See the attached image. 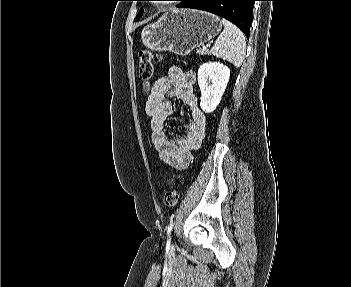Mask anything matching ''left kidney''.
Masks as SVG:
<instances>
[{"label": "left kidney", "mask_w": 351, "mask_h": 287, "mask_svg": "<svg viewBox=\"0 0 351 287\" xmlns=\"http://www.w3.org/2000/svg\"><path fill=\"white\" fill-rule=\"evenodd\" d=\"M229 77L230 69L220 62H207L199 67L200 107L205 113H211L216 109L226 89Z\"/></svg>", "instance_id": "5707ae66"}]
</instances>
